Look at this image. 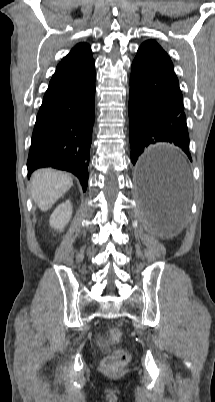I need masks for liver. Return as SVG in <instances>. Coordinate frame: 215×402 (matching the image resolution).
<instances>
[{
    "label": "liver",
    "mask_w": 215,
    "mask_h": 402,
    "mask_svg": "<svg viewBox=\"0 0 215 402\" xmlns=\"http://www.w3.org/2000/svg\"><path fill=\"white\" fill-rule=\"evenodd\" d=\"M73 185L68 173L50 168L39 169L31 177V196L41 211H47Z\"/></svg>",
    "instance_id": "liver-1"
}]
</instances>
